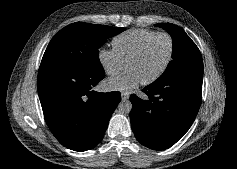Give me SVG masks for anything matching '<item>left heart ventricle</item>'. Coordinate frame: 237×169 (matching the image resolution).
I'll return each instance as SVG.
<instances>
[{
    "instance_id": "left-heart-ventricle-1",
    "label": "left heart ventricle",
    "mask_w": 237,
    "mask_h": 169,
    "mask_svg": "<svg viewBox=\"0 0 237 169\" xmlns=\"http://www.w3.org/2000/svg\"><path fill=\"white\" fill-rule=\"evenodd\" d=\"M169 41L164 36L153 39L137 59L131 61L128 69L136 73L141 81L156 74L167 59Z\"/></svg>"
}]
</instances>
